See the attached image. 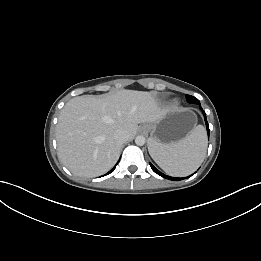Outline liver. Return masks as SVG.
<instances>
[{
	"label": "liver",
	"instance_id": "1",
	"mask_svg": "<svg viewBox=\"0 0 261 261\" xmlns=\"http://www.w3.org/2000/svg\"><path fill=\"white\" fill-rule=\"evenodd\" d=\"M168 110L149 93L120 90L103 96H78L66 103L58 118L56 140L61 162L75 175L96 177L117 162L123 130L132 140L140 123H153ZM124 141V142H125Z\"/></svg>",
	"mask_w": 261,
	"mask_h": 261
}]
</instances>
